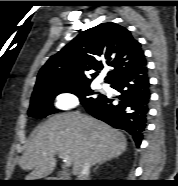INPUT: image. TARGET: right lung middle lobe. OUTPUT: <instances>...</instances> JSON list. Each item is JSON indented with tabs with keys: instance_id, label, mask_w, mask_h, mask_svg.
<instances>
[{
	"instance_id": "right-lung-middle-lobe-1",
	"label": "right lung middle lobe",
	"mask_w": 178,
	"mask_h": 186,
	"mask_svg": "<svg viewBox=\"0 0 178 186\" xmlns=\"http://www.w3.org/2000/svg\"><path fill=\"white\" fill-rule=\"evenodd\" d=\"M63 92L75 94L80 98V101L84 106L97 100L102 95L99 94L98 97H93L95 93L90 89V85L72 88L45 89L32 95L28 115L31 117L44 118L58 112L59 110L55 109L53 106V100L55 96Z\"/></svg>"
}]
</instances>
